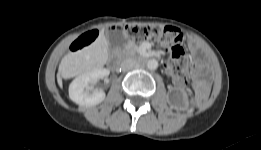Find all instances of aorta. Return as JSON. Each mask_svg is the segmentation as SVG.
I'll list each match as a JSON object with an SVG mask.
<instances>
[{
	"label": "aorta",
	"mask_w": 261,
	"mask_h": 150,
	"mask_svg": "<svg viewBox=\"0 0 261 150\" xmlns=\"http://www.w3.org/2000/svg\"><path fill=\"white\" fill-rule=\"evenodd\" d=\"M146 66L149 70H156L158 68V61L156 59H149Z\"/></svg>",
	"instance_id": "aorta-1"
}]
</instances>
